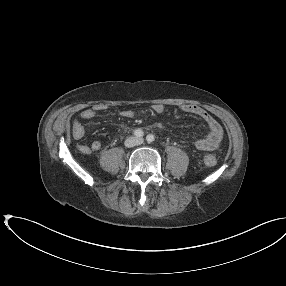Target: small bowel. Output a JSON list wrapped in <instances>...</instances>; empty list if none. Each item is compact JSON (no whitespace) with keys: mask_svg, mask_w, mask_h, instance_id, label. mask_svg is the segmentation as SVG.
I'll list each match as a JSON object with an SVG mask.
<instances>
[{"mask_svg":"<svg viewBox=\"0 0 286 286\" xmlns=\"http://www.w3.org/2000/svg\"><path fill=\"white\" fill-rule=\"evenodd\" d=\"M102 109L103 107L101 106L86 108L81 111L78 119H73L71 121L70 132H71L72 137L75 140H81L85 136V127L82 124V121H87V120L94 118L97 115V112ZM181 109L186 113L199 116L207 123L208 134L205 137L200 138L195 142L196 147L202 151H212L216 149L221 142V139L223 136V130H222L221 125L215 120V118L210 113H208L204 108L198 105L184 104L181 106ZM152 110L156 114L160 115L164 112L165 107L164 105L157 103L152 106ZM120 114L124 118H132L134 116V112L129 109L122 110ZM155 126L158 129H161L163 127V124L162 122L158 121L156 122ZM101 147H102L101 141L94 140L89 145L78 144L77 150L79 153L87 155L92 152H96L100 150Z\"/></svg>","mask_w":286,"mask_h":286,"instance_id":"small-bowel-1","label":"small bowel"}]
</instances>
